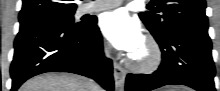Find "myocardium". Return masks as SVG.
<instances>
[{
    "label": "myocardium",
    "instance_id": "1",
    "mask_svg": "<svg viewBox=\"0 0 220 91\" xmlns=\"http://www.w3.org/2000/svg\"><path fill=\"white\" fill-rule=\"evenodd\" d=\"M144 45L147 48L146 57L139 61L133 57L129 58V67L139 73H150L156 70L162 62V50L158 41L153 36H147L144 39Z\"/></svg>",
    "mask_w": 220,
    "mask_h": 91
}]
</instances>
